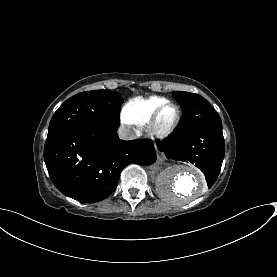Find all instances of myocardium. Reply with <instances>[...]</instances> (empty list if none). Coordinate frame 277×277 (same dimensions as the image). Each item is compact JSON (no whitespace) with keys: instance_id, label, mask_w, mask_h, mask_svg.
<instances>
[{"instance_id":"1","label":"myocardium","mask_w":277,"mask_h":277,"mask_svg":"<svg viewBox=\"0 0 277 277\" xmlns=\"http://www.w3.org/2000/svg\"><path fill=\"white\" fill-rule=\"evenodd\" d=\"M169 106H173L176 109L175 120L171 124V126H169L168 128L161 129L159 127L160 115L163 112V110ZM180 120H181L180 107L174 102L166 101V102L160 104L152 113V115L146 125L147 132L151 138L164 139V138L168 137L169 135H171L175 131V129L178 127V125L180 123Z\"/></svg>"}]
</instances>
